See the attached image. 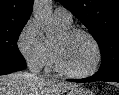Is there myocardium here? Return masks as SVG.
<instances>
[{
    "label": "myocardium",
    "instance_id": "f54148a6",
    "mask_svg": "<svg viewBox=\"0 0 119 95\" xmlns=\"http://www.w3.org/2000/svg\"><path fill=\"white\" fill-rule=\"evenodd\" d=\"M64 35L66 38H71L76 35H84L86 36L94 45L95 51H96V58L93 66L85 72H74L70 70L64 63L60 46L55 43L54 44V64L56 69L69 77L72 78H88L90 76H93L100 68L101 62H102V49L98 42V40L92 35L89 31L82 29V28H68L64 31Z\"/></svg>",
    "mask_w": 119,
    "mask_h": 95
}]
</instances>
